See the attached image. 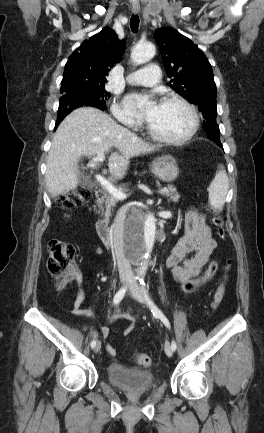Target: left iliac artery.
Segmentation results:
<instances>
[{"label":"left iliac artery","mask_w":264,"mask_h":433,"mask_svg":"<svg viewBox=\"0 0 264 433\" xmlns=\"http://www.w3.org/2000/svg\"><path fill=\"white\" fill-rule=\"evenodd\" d=\"M139 282H140V285L142 286V291L144 293V296L146 297V299H148L147 290L145 289V282H144L143 278L139 279ZM148 301H149V299H148ZM149 305H150V307L152 309L151 311H152L153 315L156 316V317H158V318H160V320L165 324V326L168 327V328H170V323H169L168 319L158 309V307L155 306L152 301H149ZM171 347H172L173 351H175L177 349V345H176V342L174 340L171 343Z\"/></svg>","instance_id":"obj_1"}]
</instances>
